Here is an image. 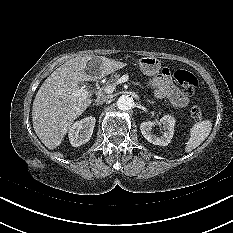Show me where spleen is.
Instances as JSON below:
<instances>
[{
  "instance_id": "obj_1",
  "label": "spleen",
  "mask_w": 233,
  "mask_h": 233,
  "mask_svg": "<svg viewBox=\"0 0 233 233\" xmlns=\"http://www.w3.org/2000/svg\"><path fill=\"white\" fill-rule=\"evenodd\" d=\"M211 129L212 122L210 120L195 123L190 129V137L186 143L185 152L189 153L200 146V144L209 136Z\"/></svg>"
}]
</instances>
